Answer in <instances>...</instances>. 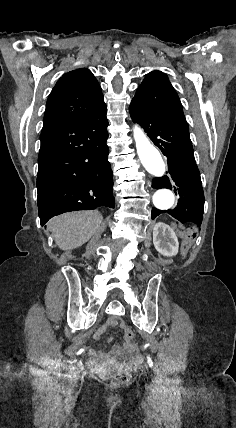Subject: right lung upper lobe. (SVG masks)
I'll list each match as a JSON object with an SVG mask.
<instances>
[{
  "mask_svg": "<svg viewBox=\"0 0 236 428\" xmlns=\"http://www.w3.org/2000/svg\"><path fill=\"white\" fill-rule=\"evenodd\" d=\"M106 110L94 75L86 68L76 69L64 74L50 93L42 131L84 121Z\"/></svg>",
  "mask_w": 236,
  "mask_h": 428,
  "instance_id": "obj_1",
  "label": "right lung upper lobe"
}]
</instances>
